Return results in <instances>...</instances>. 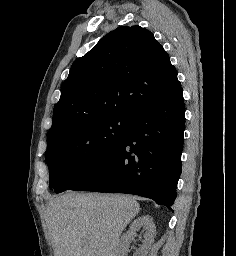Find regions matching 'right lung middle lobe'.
<instances>
[{
  "label": "right lung middle lobe",
  "instance_id": "right-lung-middle-lobe-1",
  "mask_svg": "<svg viewBox=\"0 0 236 256\" xmlns=\"http://www.w3.org/2000/svg\"><path fill=\"white\" fill-rule=\"evenodd\" d=\"M133 122L134 119L122 117L97 119L48 136L46 163L50 187L56 193L67 190L120 145Z\"/></svg>",
  "mask_w": 236,
  "mask_h": 256
}]
</instances>
